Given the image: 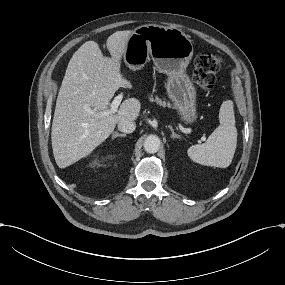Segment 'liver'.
Masks as SVG:
<instances>
[{
    "mask_svg": "<svg viewBox=\"0 0 285 285\" xmlns=\"http://www.w3.org/2000/svg\"><path fill=\"white\" fill-rule=\"evenodd\" d=\"M133 30L117 31L106 39L111 58H104L96 41L85 42L69 61L58 94L51 142L57 166L67 168L103 144L123 119L136 121L142 105L127 98L112 112L110 102L120 87L130 85L121 71Z\"/></svg>",
    "mask_w": 285,
    "mask_h": 285,
    "instance_id": "1",
    "label": "liver"
}]
</instances>
